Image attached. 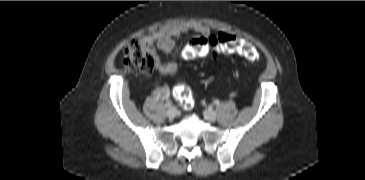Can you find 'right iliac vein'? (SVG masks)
<instances>
[{
  "instance_id": "63e3f726",
  "label": "right iliac vein",
  "mask_w": 365,
  "mask_h": 180,
  "mask_svg": "<svg viewBox=\"0 0 365 180\" xmlns=\"http://www.w3.org/2000/svg\"><path fill=\"white\" fill-rule=\"evenodd\" d=\"M176 113H177V109L175 107H169L168 110H167V116L170 118V119H173L175 116H176Z\"/></svg>"
}]
</instances>
